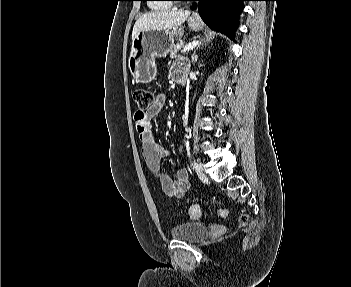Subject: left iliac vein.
I'll return each mask as SVG.
<instances>
[{
    "label": "left iliac vein",
    "mask_w": 351,
    "mask_h": 287,
    "mask_svg": "<svg viewBox=\"0 0 351 287\" xmlns=\"http://www.w3.org/2000/svg\"><path fill=\"white\" fill-rule=\"evenodd\" d=\"M196 173L199 178H205L204 165L202 163L197 164Z\"/></svg>",
    "instance_id": "obj_1"
}]
</instances>
